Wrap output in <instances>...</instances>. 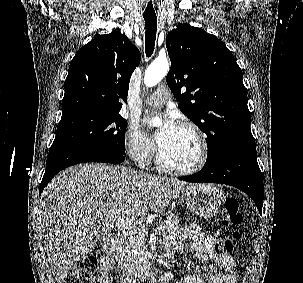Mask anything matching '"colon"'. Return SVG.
<instances>
[{
  "mask_svg": "<svg viewBox=\"0 0 303 283\" xmlns=\"http://www.w3.org/2000/svg\"><path fill=\"white\" fill-rule=\"evenodd\" d=\"M223 226L238 228L242 224V214L239 202L236 199H227L220 213ZM241 232L234 230L231 237L226 240L225 247L232 249L241 239ZM98 269V259L94 255L86 257L74 271L65 278L63 283H93Z\"/></svg>",
  "mask_w": 303,
  "mask_h": 283,
  "instance_id": "colon-1",
  "label": "colon"
}]
</instances>
